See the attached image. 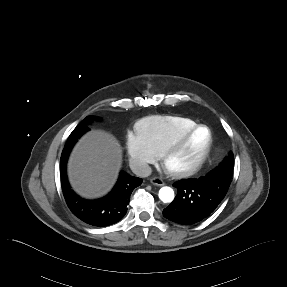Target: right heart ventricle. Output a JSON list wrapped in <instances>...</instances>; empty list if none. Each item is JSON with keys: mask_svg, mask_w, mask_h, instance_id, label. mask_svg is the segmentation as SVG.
I'll list each match as a JSON object with an SVG mask.
<instances>
[{"mask_svg": "<svg viewBox=\"0 0 287 287\" xmlns=\"http://www.w3.org/2000/svg\"><path fill=\"white\" fill-rule=\"evenodd\" d=\"M196 126V122L179 115L148 116L137 125L138 133L145 136L159 155L180 135Z\"/></svg>", "mask_w": 287, "mask_h": 287, "instance_id": "e07e8e85", "label": "right heart ventricle"}]
</instances>
